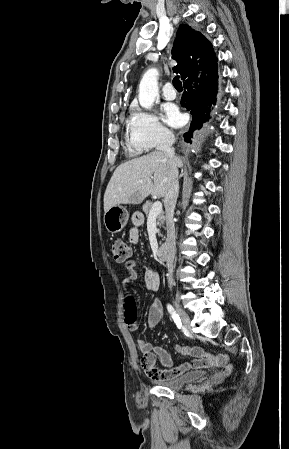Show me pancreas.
<instances>
[{"instance_id": "obj_1", "label": "pancreas", "mask_w": 289, "mask_h": 449, "mask_svg": "<svg viewBox=\"0 0 289 449\" xmlns=\"http://www.w3.org/2000/svg\"><path fill=\"white\" fill-rule=\"evenodd\" d=\"M153 206V203L150 201H147L145 204H143V212L145 213V215L148 217L149 216V212L151 210ZM164 220H165V216L164 213L161 212L158 216H157V226L162 227L164 225ZM161 235V234H159Z\"/></svg>"}]
</instances>
